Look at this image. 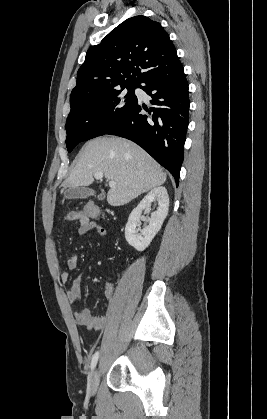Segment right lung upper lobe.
I'll list each match as a JSON object with an SVG mask.
<instances>
[{
  "label": "right lung upper lobe",
  "mask_w": 267,
  "mask_h": 419,
  "mask_svg": "<svg viewBox=\"0 0 267 419\" xmlns=\"http://www.w3.org/2000/svg\"><path fill=\"white\" fill-rule=\"evenodd\" d=\"M179 61L160 23L145 16L125 20L89 48L77 72L71 104L86 96L138 87L151 73Z\"/></svg>",
  "instance_id": "1"
}]
</instances>
